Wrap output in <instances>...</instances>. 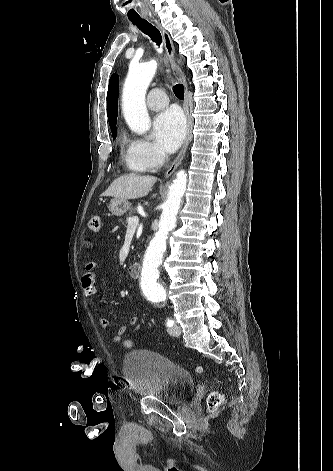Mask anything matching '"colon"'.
Returning a JSON list of instances; mask_svg holds the SVG:
<instances>
[{
  "mask_svg": "<svg viewBox=\"0 0 333 471\" xmlns=\"http://www.w3.org/2000/svg\"><path fill=\"white\" fill-rule=\"evenodd\" d=\"M88 227L92 231H97L100 228V217L92 216L88 222ZM121 343L126 349L133 347V341L131 339H123ZM195 371L198 374H202L204 372L202 366H196ZM222 402L223 396L217 391L212 392L207 399L208 411H214Z\"/></svg>",
  "mask_w": 333,
  "mask_h": 471,
  "instance_id": "5ec220e1",
  "label": "colon"
}]
</instances>
